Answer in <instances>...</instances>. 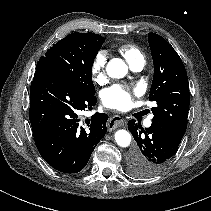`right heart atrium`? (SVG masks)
Wrapping results in <instances>:
<instances>
[{
    "instance_id": "d8ad5b80",
    "label": "right heart atrium",
    "mask_w": 211,
    "mask_h": 211,
    "mask_svg": "<svg viewBox=\"0 0 211 211\" xmlns=\"http://www.w3.org/2000/svg\"><path fill=\"white\" fill-rule=\"evenodd\" d=\"M91 74L93 79L101 83L105 80L106 75V54L103 52H99L96 54L94 59L91 62Z\"/></svg>"
}]
</instances>
